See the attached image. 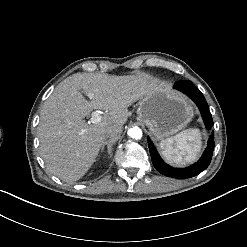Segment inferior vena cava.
I'll list each match as a JSON object with an SVG mask.
<instances>
[{
    "instance_id": "obj_1",
    "label": "inferior vena cava",
    "mask_w": 247,
    "mask_h": 247,
    "mask_svg": "<svg viewBox=\"0 0 247 247\" xmlns=\"http://www.w3.org/2000/svg\"><path fill=\"white\" fill-rule=\"evenodd\" d=\"M123 132V126L120 124H111L105 128V134L113 141H117Z\"/></svg>"
}]
</instances>
